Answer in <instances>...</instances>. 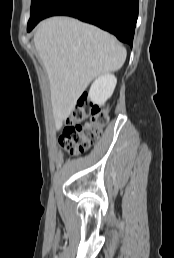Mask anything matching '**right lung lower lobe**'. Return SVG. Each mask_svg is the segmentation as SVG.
<instances>
[{"label":"right lung lower lobe","instance_id":"1","mask_svg":"<svg viewBox=\"0 0 174 258\" xmlns=\"http://www.w3.org/2000/svg\"><path fill=\"white\" fill-rule=\"evenodd\" d=\"M138 0H58L45 18L65 15L94 24L132 47Z\"/></svg>","mask_w":174,"mask_h":258}]
</instances>
